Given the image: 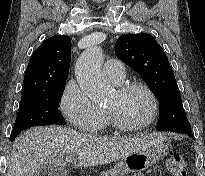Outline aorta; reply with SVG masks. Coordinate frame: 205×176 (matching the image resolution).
Segmentation results:
<instances>
[{
	"mask_svg": "<svg viewBox=\"0 0 205 176\" xmlns=\"http://www.w3.org/2000/svg\"><path fill=\"white\" fill-rule=\"evenodd\" d=\"M102 51L98 46L86 49L78 58L75 76L80 88L95 102H103L109 95V86L101 71Z\"/></svg>",
	"mask_w": 205,
	"mask_h": 176,
	"instance_id": "obj_1",
	"label": "aorta"
}]
</instances>
